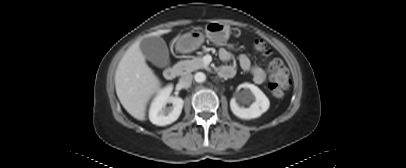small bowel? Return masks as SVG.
Segmentation results:
<instances>
[{
	"instance_id": "small-bowel-1",
	"label": "small bowel",
	"mask_w": 406,
	"mask_h": 168,
	"mask_svg": "<svg viewBox=\"0 0 406 168\" xmlns=\"http://www.w3.org/2000/svg\"><path fill=\"white\" fill-rule=\"evenodd\" d=\"M234 52H235V48L232 45L222 47L219 50V57L222 61L228 62L233 58ZM238 61H239L241 68L244 71H246L252 75L253 81L256 84L260 85V84L265 83L266 74H265L264 70L261 67L254 65L246 54H244V53L239 54ZM222 69L232 70L233 75L235 74V69L230 65L224 66V67H222Z\"/></svg>"
}]
</instances>
